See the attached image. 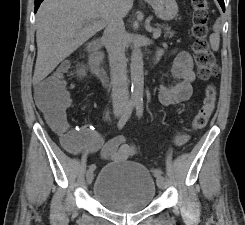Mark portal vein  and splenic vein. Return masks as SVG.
Masks as SVG:
<instances>
[{"label": "portal vein and splenic vein", "instance_id": "1", "mask_svg": "<svg viewBox=\"0 0 245 225\" xmlns=\"http://www.w3.org/2000/svg\"><path fill=\"white\" fill-rule=\"evenodd\" d=\"M160 35H161V29H159V28L154 29V31H153V38L154 39H157V38L160 37Z\"/></svg>", "mask_w": 245, "mask_h": 225}]
</instances>
